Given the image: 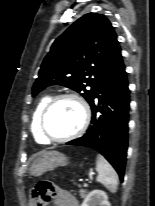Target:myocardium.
<instances>
[{
    "label": "myocardium",
    "mask_w": 155,
    "mask_h": 206,
    "mask_svg": "<svg viewBox=\"0 0 155 206\" xmlns=\"http://www.w3.org/2000/svg\"><path fill=\"white\" fill-rule=\"evenodd\" d=\"M64 99H72V100L77 102V104L79 105L81 112H82V121H81L79 128L76 131H74L73 133H71L65 137L55 138V137L50 136L47 133L46 128H45V120H46V117H47L49 111L51 110V108L57 102L64 100ZM90 120H91V112H90V108H89V105L86 102V100L77 93L66 92V93H61V94H58V95L52 97L49 100V102L46 104V106L44 107V109L40 115L39 130L46 141L63 143V142H67V141H70L74 138L81 136L87 130V128L90 124Z\"/></svg>",
    "instance_id": "1"
}]
</instances>
